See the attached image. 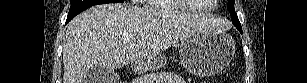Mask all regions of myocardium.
<instances>
[{
	"label": "myocardium",
	"mask_w": 307,
	"mask_h": 83,
	"mask_svg": "<svg viewBox=\"0 0 307 83\" xmlns=\"http://www.w3.org/2000/svg\"><path fill=\"white\" fill-rule=\"evenodd\" d=\"M177 2H179L189 12L200 13V14L209 13L212 7L211 6L208 9L196 8L195 6L190 4L191 3L190 0H177Z\"/></svg>",
	"instance_id": "obj_1"
}]
</instances>
